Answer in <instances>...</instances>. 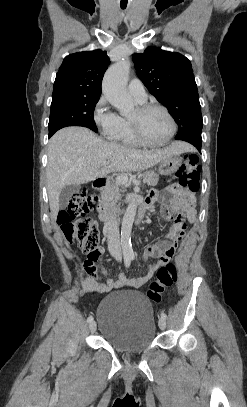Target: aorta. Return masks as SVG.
<instances>
[{
  "instance_id": "aorta-1",
  "label": "aorta",
  "mask_w": 247,
  "mask_h": 407,
  "mask_svg": "<svg viewBox=\"0 0 247 407\" xmlns=\"http://www.w3.org/2000/svg\"><path fill=\"white\" fill-rule=\"evenodd\" d=\"M130 61L124 59L110 67L103 78L102 92L111 105L125 116L134 108L133 101L127 93V82L130 72ZM137 199L131 198L122 220L121 245L125 256H132L131 231L137 211Z\"/></svg>"
}]
</instances>
